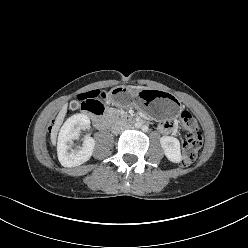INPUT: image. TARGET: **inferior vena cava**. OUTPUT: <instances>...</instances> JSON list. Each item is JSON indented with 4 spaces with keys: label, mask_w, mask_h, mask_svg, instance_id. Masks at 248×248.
Masks as SVG:
<instances>
[{
    "label": "inferior vena cava",
    "mask_w": 248,
    "mask_h": 248,
    "mask_svg": "<svg viewBox=\"0 0 248 248\" xmlns=\"http://www.w3.org/2000/svg\"><path fill=\"white\" fill-rule=\"evenodd\" d=\"M131 128V125L130 124H126V123H123V122H116L115 124H113L112 126V132L114 134H118L126 129H129Z\"/></svg>",
    "instance_id": "inferior-vena-cava-1"
}]
</instances>
